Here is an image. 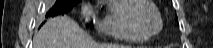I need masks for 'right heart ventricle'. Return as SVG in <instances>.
I'll list each match as a JSON object with an SVG mask.
<instances>
[{"label":"right heart ventricle","instance_id":"right-heart-ventricle-1","mask_svg":"<svg viewBox=\"0 0 213 48\" xmlns=\"http://www.w3.org/2000/svg\"><path fill=\"white\" fill-rule=\"evenodd\" d=\"M133 0H112L107 5L104 15L98 24V29L114 39L141 43L148 38L138 34L128 19V12Z\"/></svg>","mask_w":213,"mask_h":48}]
</instances>
